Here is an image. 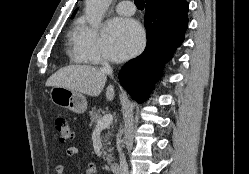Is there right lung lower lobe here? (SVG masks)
I'll return each mask as SVG.
<instances>
[{"instance_id":"right-lung-lower-lobe-1","label":"right lung lower lobe","mask_w":249,"mask_h":174,"mask_svg":"<svg viewBox=\"0 0 249 174\" xmlns=\"http://www.w3.org/2000/svg\"><path fill=\"white\" fill-rule=\"evenodd\" d=\"M187 12L186 0L146 2V48L140 56L126 63L119 73L121 85L139 103L146 100L164 63L183 42L188 25Z\"/></svg>"}]
</instances>
